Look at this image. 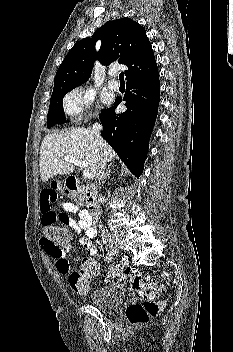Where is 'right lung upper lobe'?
I'll list each match as a JSON object with an SVG mask.
<instances>
[{"label":"right lung upper lobe","mask_w":233,"mask_h":352,"mask_svg":"<svg viewBox=\"0 0 233 352\" xmlns=\"http://www.w3.org/2000/svg\"><path fill=\"white\" fill-rule=\"evenodd\" d=\"M99 39L102 45L97 53L95 44ZM96 59L103 65L114 61L126 65L127 81L147 75L157 68L145 29L132 19L121 18L105 23L91 37L73 46L57 70L54 87L86 82Z\"/></svg>","instance_id":"1"}]
</instances>
